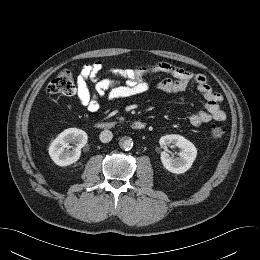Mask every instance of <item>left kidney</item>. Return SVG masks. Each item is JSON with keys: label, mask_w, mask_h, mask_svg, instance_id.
Here are the masks:
<instances>
[{"label": "left kidney", "mask_w": 260, "mask_h": 260, "mask_svg": "<svg viewBox=\"0 0 260 260\" xmlns=\"http://www.w3.org/2000/svg\"><path fill=\"white\" fill-rule=\"evenodd\" d=\"M162 147L173 144L181 149L177 157H171L167 152L161 153V162L163 166L170 172L182 174L191 168L196 156L197 149L192 142L180 135H165L159 140Z\"/></svg>", "instance_id": "1"}]
</instances>
